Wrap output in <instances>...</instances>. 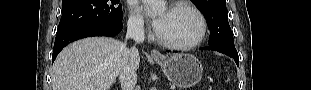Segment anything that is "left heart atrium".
I'll return each mask as SVG.
<instances>
[{
  "mask_svg": "<svg viewBox=\"0 0 311 90\" xmlns=\"http://www.w3.org/2000/svg\"><path fill=\"white\" fill-rule=\"evenodd\" d=\"M163 22H164V18L162 16H159L153 21V26L156 32H158L162 28Z\"/></svg>",
  "mask_w": 311,
  "mask_h": 90,
  "instance_id": "39dd6f15",
  "label": "left heart atrium"
}]
</instances>
